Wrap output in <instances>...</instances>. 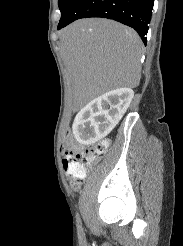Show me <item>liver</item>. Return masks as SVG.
I'll list each match as a JSON object with an SVG mask.
<instances>
[{"label": "liver", "instance_id": "liver-1", "mask_svg": "<svg viewBox=\"0 0 183 246\" xmlns=\"http://www.w3.org/2000/svg\"><path fill=\"white\" fill-rule=\"evenodd\" d=\"M60 52L80 105L140 83L143 43L133 29L115 21L89 18L73 22L60 33Z\"/></svg>", "mask_w": 183, "mask_h": 246}]
</instances>
